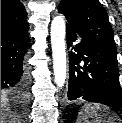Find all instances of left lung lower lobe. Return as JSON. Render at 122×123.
<instances>
[{
  "instance_id": "left-lung-lower-lobe-1",
  "label": "left lung lower lobe",
  "mask_w": 122,
  "mask_h": 123,
  "mask_svg": "<svg viewBox=\"0 0 122 123\" xmlns=\"http://www.w3.org/2000/svg\"><path fill=\"white\" fill-rule=\"evenodd\" d=\"M81 39L69 54V85L67 98L101 103L122 109V89L116 52L80 37L67 28V47ZM80 62L84 66H80Z\"/></svg>"
}]
</instances>
